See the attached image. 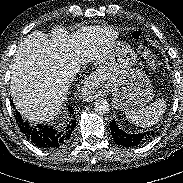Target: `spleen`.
Masks as SVG:
<instances>
[{"label":"spleen","mask_w":183,"mask_h":183,"mask_svg":"<svg viewBox=\"0 0 183 183\" xmlns=\"http://www.w3.org/2000/svg\"><path fill=\"white\" fill-rule=\"evenodd\" d=\"M165 110L166 101L162 98L142 109H128L125 111V115L134 125L151 127L162 119Z\"/></svg>","instance_id":"1"}]
</instances>
